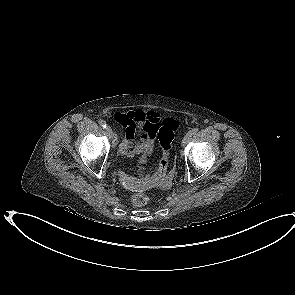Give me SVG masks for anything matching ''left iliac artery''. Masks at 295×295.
I'll return each mask as SVG.
<instances>
[{"mask_svg":"<svg viewBox=\"0 0 295 295\" xmlns=\"http://www.w3.org/2000/svg\"><path fill=\"white\" fill-rule=\"evenodd\" d=\"M198 132V128H194L191 131H189V134L192 136Z\"/></svg>","mask_w":295,"mask_h":295,"instance_id":"left-iliac-artery-1","label":"left iliac artery"}]
</instances>
